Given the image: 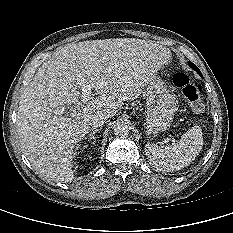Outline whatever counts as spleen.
Masks as SVG:
<instances>
[{"label":"spleen","instance_id":"1","mask_svg":"<svg viewBox=\"0 0 233 233\" xmlns=\"http://www.w3.org/2000/svg\"><path fill=\"white\" fill-rule=\"evenodd\" d=\"M202 146V130L199 126H193L176 144L159 147L154 143H148L145 146V153L155 169L171 172L181 170L192 163Z\"/></svg>","mask_w":233,"mask_h":233}]
</instances>
